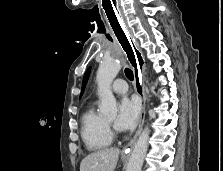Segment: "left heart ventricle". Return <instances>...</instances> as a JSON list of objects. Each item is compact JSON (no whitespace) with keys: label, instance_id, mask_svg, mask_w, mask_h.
Wrapping results in <instances>:
<instances>
[{"label":"left heart ventricle","instance_id":"obj_1","mask_svg":"<svg viewBox=\"0 0 223 171\" xmlns=\"http://www.w3.org/2000/svg\"><path fill=\"white\" fill-rule=\"evenodd\" d=\"M114 120H115V117H110V118L108 119L109 122H114Z\"/></svg>","mask_w":223,"mask_h":171}]
</instances>
